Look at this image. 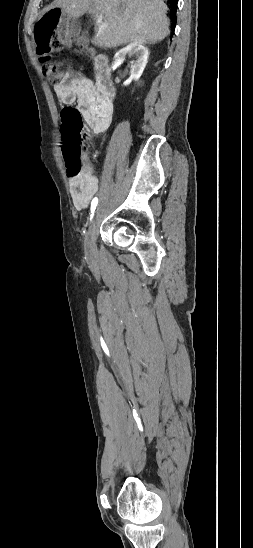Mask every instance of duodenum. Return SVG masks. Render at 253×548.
Here are the masks:
<instances>
[{
    "instance_id": "duodenum-1",
    "label": "duodenum",
    "mask_w": 253,
    "mask_h": 548,
    "mask_svg": "<svg viewBox=\"0 0 253 548\" xmlns=\"http://www.w3.org/2000/svg\"><path fill=\"white\" fill-rule=\"evenodd\" d=\"M94 70L97 79V88L103 95L112 99L115 95V86L111 77L109 60L105 55H97L94 58Z\"/></svg>"
}]
</instances>
